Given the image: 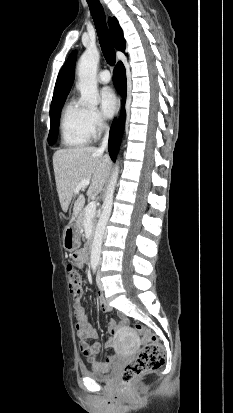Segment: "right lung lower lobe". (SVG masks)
<instances>
[{
  "label": "right lung lower lobe",
  "instance_id": "1",
  "mask_svg": "<svg viewBox=\"0 0 233 413\" xmlns=\"http://www.w3.org/2000/svg\"><path fill=\"white\" fill-rule=\"evenodd\" d=\"M113 81L117 91L122 95L123 99L126 98V73L124 65L119 62L113 72ZM123 123H124V113L122 118L119 122H117L116 118L114 119L112 126L110 128V135H109V151L112 160L114 161L119 149L122 131H123Z\"/></svg>",
  "mask_w": 233,
  "mask_h": 413
}]
</instances>
